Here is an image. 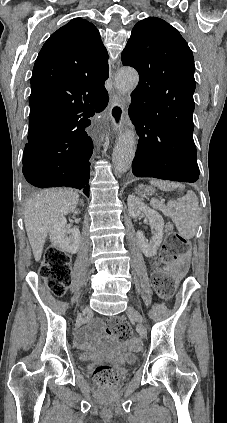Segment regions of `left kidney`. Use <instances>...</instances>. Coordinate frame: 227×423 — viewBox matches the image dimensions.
<instances>
[{"mask_svg": "<svg viewBox=\"0 0 227 423\" xmlns=\"http://www.w3.org/2000/svg\"><path fill=\"white\" fill-rule=\"evenodd\" d=\"M128 211L131 217H138L141 211H144L146 217L149 219L151 227H154V235L150 241H147L143 231H136L137 241L146 257H152L155 255L163 237L164 219L158 211L151 210L148 206H145L142 200L136 198V196H128L127 200Z\"/></svg>", "mask_w": 227, "mask_h": 423, "instance_id": "1", "label": "left kidney"}]
</instances>
